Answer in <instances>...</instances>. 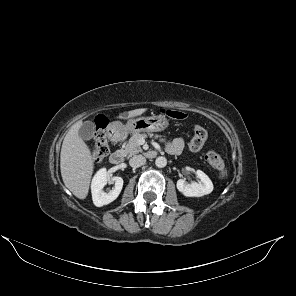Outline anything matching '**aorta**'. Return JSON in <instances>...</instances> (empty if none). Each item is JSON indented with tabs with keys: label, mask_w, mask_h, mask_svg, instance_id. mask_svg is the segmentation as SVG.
<instances>
[{
	"label": "aorta",
	"mask_w": 296,
	"mask_h": 296,
	"mask_svg": "<svg viewBox=\"0 0 296 296\" xmlns=\"http://www.w3.org/2000/svg\"><path fill=\"white\" fill-rule=\"evenodd\" d=\"M155 165L159 168H163L167 165V159L163 156H159L155 160Z\"/></svg>",
	"instance_id": "obj_1"
}]
</instances>
